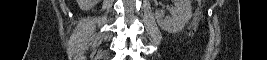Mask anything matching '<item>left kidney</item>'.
I'll return each mask as SVG.
<instances>
[{
    "label": "left kidney",
    "instance_id": "left-kidney-1",
    "mask_svg": "<svg viewBox=\"0 0 267 60\" xmlns=\"http://www.w3.org/2000/svg\"><path fill=\"white\" fill-rule=\"evenodd\" d=\"M189 0H174V7L170 9L171 16L164 17V10L157 9L155 18L164 31L177 33L181 31L192 15Z\"/></svg>",
    "mask_w": 267,
    "mask_h": 60
}]
</instances>
